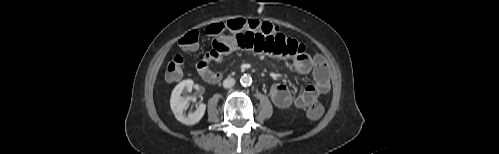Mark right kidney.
<instances>
[{"mask_svg":"<svg viewBox=\"0 0 499 154\" xmlns=\"http://www.w3.org/2000/svg\"><path fill=\"white\" fill-rule=\"evenodd\" d=\"M193 85V80H183L178 85H176L171 94L170 106L175 115V118L185 125H194L198 123L203 117L206 110V105L201 103L194 113H191L189 115L184 114L187 101L181 98V93L184 89H187L190 92L193 88Z\"/></svg>","mask_w":499,"mask_h":154,"instance_id":"right-kidney-1","label":"right kidney"}]
</instances>
